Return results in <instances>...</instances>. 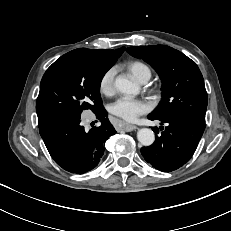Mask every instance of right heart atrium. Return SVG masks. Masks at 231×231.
Wrapping results in <instances>:
<instances>
[{"label":"right heart atrium","mask_w":231,"mask_h":231,"mask_svg":"<svg viewBox=\"0 0 231 231\" xmlns=\"http://www.w3.org/2000/svg\"><path fill=\"white\" fill-rule=\"evenodd\" d=\"M116 70L111 67L107 69L100 77L99 80V91L104 95H112L115 90L114 80H115Z\"/></svg>","instance_id":"1"}]
</instances>
